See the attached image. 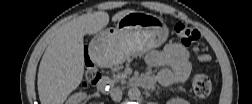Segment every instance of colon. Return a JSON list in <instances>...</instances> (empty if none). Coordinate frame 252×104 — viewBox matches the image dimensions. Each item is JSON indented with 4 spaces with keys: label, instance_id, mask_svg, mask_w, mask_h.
<instances>
[{
    "label": "colon",
    "instance_id": "5ec220e1",
    "mask_svg": "<svg viewBox=\"0 0 252 104\" xmlns=\"http://www.w3.org/2000/svg\"><path fill=\"white\" fill-rule=\"evenodd\" d=\"M173 31L177 41L185 46L193 44L200 37L198 30L183 22H174ZM198 58L202 61H210V57L208 55L201 53H198ZM99 78L100 73L97 68L91 61H87L84 69L83 86L89 87L95 84L99 80ZM192 85L194 93L201 99L208 98L212 92L211 81L204 74H196L192 79Z\"/></svg>",
    "mask_w": 252,
    "mask_h": 104
}]
</instances>
